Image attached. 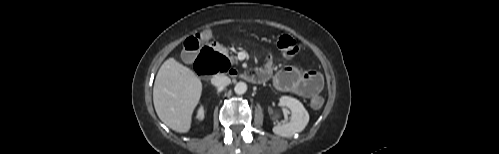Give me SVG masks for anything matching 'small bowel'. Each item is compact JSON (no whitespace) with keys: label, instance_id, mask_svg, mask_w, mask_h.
Returning <instances> with one entry per match:
<instances>
[{"label":"small bowel","instance_id":"small-bowel-1","mask_svg":"<svg viewBox=\"0 0 499 154\" xmlns=\"http://www.w3.org/2000/svg\"><path fill=\"white\" fill-rule=\"evenodd\" d=\"M268 80L273 73L272 64L268 62L259 70ZM273 85L278 91L293 92L304 98L317 96L323 88L322 76L315 71H301L295 66L280 70L273 78Z\"/></svg>","mask_w":499,"mask_h":154}]
</instances>
